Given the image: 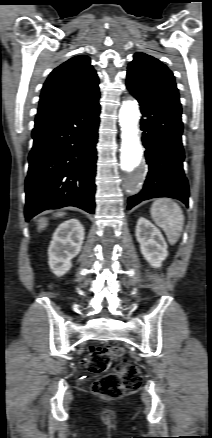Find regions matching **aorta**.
<instances>
[{
    "label": "aorta",
    "mask_w": 212,
    "mask_h": 438,
    "mask_svg": "<svg viewBox=\"0 0 212 438\" xmlns=\"http://www.w3.org/2000/svg\"><path fill=\"white\" fill-rule=\"evenodd\" d=\"M139 108L134 100L124 101L119 110V123L121 126V155L120 165L122 170L132 172L137 168L142 159L143 149L138 136Z\"/></svg>",
    "instance_id": "aorta-1"
}]
</instances>
